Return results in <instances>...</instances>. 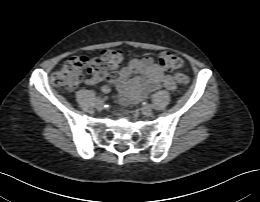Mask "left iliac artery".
Returning <instances> with one entry per match:
<instances>
[{"instance_id": "left-iliac-artery-1", "label": "left iliac artery", "mask_w": 260, "mask_h": 202, "mask_svg": "<svg viewBox=\"0 0 260 202\" xmlns=\"http://www.w3.org/2000/svg\"><path fill=\"white\" fill-rule=\"evenodd\" d=\"M143 105H149L148 101L143 102Z\"/></svg>"}]
</instances>
